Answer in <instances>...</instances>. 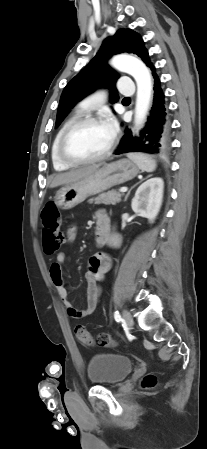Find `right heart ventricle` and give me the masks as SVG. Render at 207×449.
Instances as JSON below:
<instances>
[{
  "label": "right heart ventricle",
  "mask_w": 207,
  "mask_h": 449,
  "mask_svg": "<svg viewBox=\"0 0 207 449\" xmlns=\"http://www.w3.org/2000/svg\"><path fill=\"white\" fill-rule=\"evenodd\" d=\"M80 116V112H77L76 114H74L73 116H71L69 119H67L63 125L60 127V129L58 130L57 134L54 137V140L52 142V146H51V160H52V164L55 170L57 171H63V170H67L69 169L71 166L63 163L59 156H58V142L60 139V136L62 134V132L64 131V129L76 118H78Z\"/></svg>",
  "instance_id": "e07e8e85"
}]
</instances>
